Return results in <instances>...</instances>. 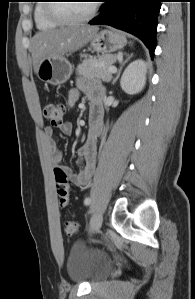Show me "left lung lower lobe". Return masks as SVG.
Masks as SVG:
<instances>
[{
	"mask_svg": "<svg viewBox=\"0 0 195 299\" xmlns=\"http://www.w3.org/2000/svg\"><path fill=\"white\" fill-rule=\"evenodd\" d=\"M102 12L90 25H110L134 34L154 54L157 18L162 0H104Z\"/></svg>",
	"mask_w": 195,
	"mask_h": 299,
	"instance_id": "0a47b994",
	"label": "left lung lower lobe"
}]
</instances>
